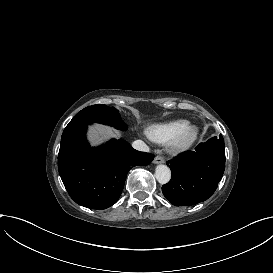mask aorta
I'll return each mask as SVG.
<instances>
[{"mask_svg":"<svg viewBox=\"0 0 273 273\" xmlns=\"http://www.w3.org/2000/svg\"><path fill=\"white\" fill-rule=\"evenodd\" d=\"M155 176L160 184H166L171 179V171L166 165H158L155 169Z\"/></svg>","mask_w":273,"mask_h":273,"instance_id":"aorta-1","label":"aorta"}]
</instances>
